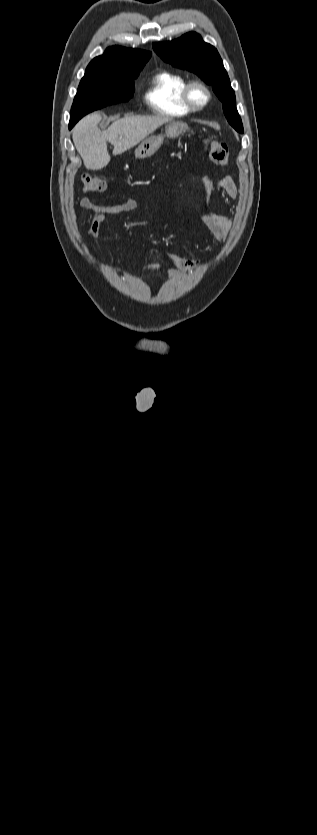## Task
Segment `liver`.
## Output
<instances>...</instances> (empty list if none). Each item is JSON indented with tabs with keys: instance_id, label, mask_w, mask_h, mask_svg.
Instances as JSON below:
<instances>
[{
	"instance_id": "1",
	"label": "liver",
	"mask_w": 317,
	"mask_h": 835,
	"mask_svg": "<svg viewBox=\"0 0 317 835\" xmlns=\"http://www.w3.org/2000/svg\"><path fill=\"white\" fill-rule=\"evenodd\" d=\"M99 113H92L81 119L73 129V142L81 155L84 165L90 170H100L110 162L107 142L111 143L113 155H119L139 144L155 129L167 122L161 117L125 116L115 120L106 131L98 124Z\"/></svg>"
}]
</instances>
